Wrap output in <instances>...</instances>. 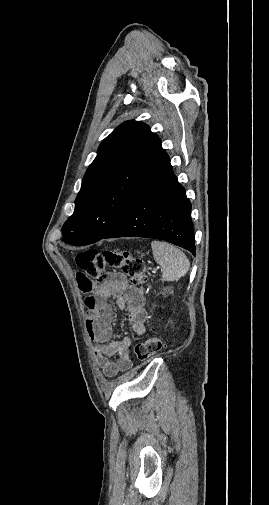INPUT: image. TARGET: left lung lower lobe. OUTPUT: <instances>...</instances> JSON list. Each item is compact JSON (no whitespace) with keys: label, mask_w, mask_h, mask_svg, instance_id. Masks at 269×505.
<instances>
[{"label":"left lung lower lobe","mask_w":269,"mask_h":505,"mask_svg":"<svg viewBox=\"0 0 269 505\" xmlns=\"http://www.w3.org/2000/svg\"><path fill=\"white\" fill-rule=\"evenodd\" d=\"M127 236L166 240L195 254L191 203L159 138L131 198L102 239Z\"/></svg>","instance_id":"0a47b994"}]
</instances>
